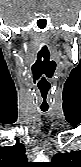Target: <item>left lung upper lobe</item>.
<instances>
[{
    "mask_svg": "<svg viewBox=\"0 0 81 167\" xmlns=\"http://www.w3.org/2000/svg\"><path fill=\"white\" fill-rule=\"evenodd\" d=\"M81 152L71 151L70 153L56 154L48 167H81Z\"/></svg>",
    "mask_w": 81,
    "mask_h": 167,
    "instance_id": "1",
    "label": "left lung upper lobe"
}]
</instances>
